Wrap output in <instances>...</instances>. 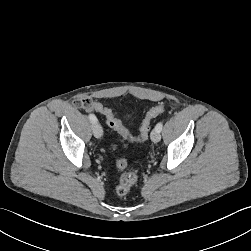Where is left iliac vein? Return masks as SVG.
<instances>
[{
  "instance_id": "4c4485c4",
  "label": "left iliac vein",
  "mask_w": 251,
  "mask_h": 251,
  "mask_svg": "<svg viewBox=\"0 0 251 251\" xmlns=\"http://www.w3.org/2000/svg\"><path fill=\"white\" fill-rule=\"evenodd\" d=\"M161 139V134H160V131L154 129L151 133V140L154 142V143H157L159 142Z\"/></svg>"
}]
</instances>
